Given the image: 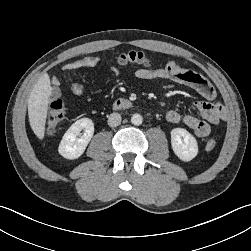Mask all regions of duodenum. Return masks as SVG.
I'll return each mask as SVG.
<instances>
[{
	"mask_svg": "<svg viewBox=\"0 0 251 251\" xmlns=\"http://www.w3.org/2000/svg\"><path fill=\"white\" fill-rule=\"evenodd\" d=\"M132 107V102L125 98H119L114 101L113 108L114 109H129Z\"/></svg>",
	"mask_w": 251,
	"mask_h": 251,
	"instance_id": "obj_1",
	"label": "duodenum"
}]
</instances>
